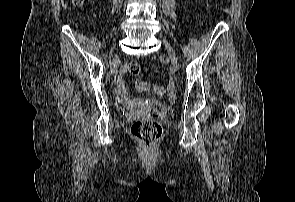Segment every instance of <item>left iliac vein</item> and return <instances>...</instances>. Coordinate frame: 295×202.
<instances>
[{"label":"left iliac vein","mask_w":295,"mask_h":202,"mask_svg":"<svg viewBox=\"0 0 295 202\" xmlns=\"http://www.w3.org/2000/svg\"><path fill=\"white\" fill-rule=\"evenodd\" d=\"M165 45H166V48H167V50H168V54H169V57H170V59H171V62H172L174 65H176L178 60H177V56H176V54H175L173 48H172L171 45H170L169 43H167V42H165Z\"/></svg>","instance_id":"obj_1"}]
</instances>
